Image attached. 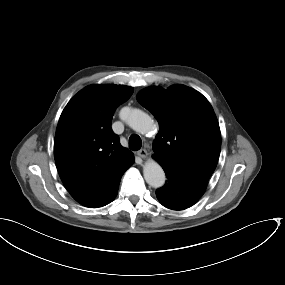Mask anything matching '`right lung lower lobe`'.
Instances as JSON below:
<instances>
[{
	"instance_id": "98d812e1",
	"label": "right lung lower lobe",
	"mask_w": 285,
	"mask_h": 285,
	"mask_svg": "<svg viewBox=\"0 0 285 285\" xmlns=\"http://www.w3.org/2000/svg\"><path fill=\"white\" fill-rule=\"evenodd\" d=\"M118 192V187L113 191V193L104 201L102 202L98 207H102V206H105L107 204H109L116 196ZM97 208V207H96Z\"/></svg>"
}]
</instances>
